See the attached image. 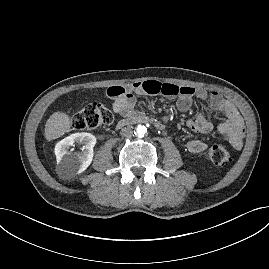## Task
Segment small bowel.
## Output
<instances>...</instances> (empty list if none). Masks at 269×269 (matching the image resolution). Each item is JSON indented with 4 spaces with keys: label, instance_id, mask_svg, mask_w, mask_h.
Instances as JSON below:
<instances>
[{
    "label": "small bowel",
    "instance_id": "1",
    "mask_svg": "<svg viewBox=\"0 0 269 269\" xmlns=\"http://www.w3.org/2000/svg\"><path fill=\"white\" fill-rule=\"evenodd\" d=\"M107 95L113 99V110L123 116L131 117L135 114V94H163L168 98H177V107L180 111H187L194 99L207 101L211 113H221L225 117L218 129L227 142L235 149L241 148L244 137V123L242 117L232 104L226 101L218 92H207L204 88L191 86H177L163 84L155 80L135 82L127 87L112 86L107 89ZM211 114V115H212ZM199 114L196 118L187 121V126L196 133L207 134L213 129L212 116ZM186 148L191 153H201L207 145L196 139L189 140Z\"/></svg>",
    "mask_w": 269,
    "mask_h": 269
}]
</instances>
